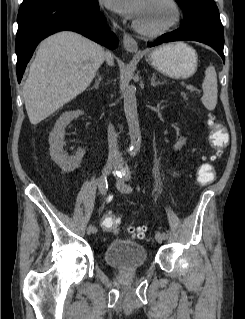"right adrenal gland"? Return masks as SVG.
<instances>
[{"instance_id":"1","label":"right adrenal gland","mask_w":245,"mask_h":319,"mask_svg":"<svg viewBox=\"0 0 245 319\" xmlns=\"http://www.w3.org/2000/svg\"><path fill=\"white\" fill-rule=\"evenodd\" d=\"M101 81L102 77L99 74H97V77L95 78V85L92 87V89L98 90Z\"/></svg>"}]
</instances>
